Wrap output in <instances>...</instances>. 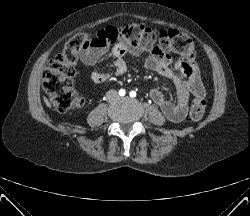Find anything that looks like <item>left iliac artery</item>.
<instances>
[{"mask_svg":"<svg viewBox=\"0 0 250 216\" xmlns=\"http://www.w3.org/2000/svg\"><path fill=\"white\" fill-rule=\"evenodd\" d=\"M135 96H136V92H135V91H131V92H130V97L133 98V97H135Z\"/></svg>","mask_w":250,"mask_h":216,"instance_id":"1","label":"left iliac artery"}]
</instances>
